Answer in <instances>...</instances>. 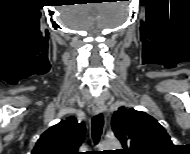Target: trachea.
<instances>
[{
	"instance_id": "trachea-1",
	"label": "trachea",
	"mask_w": 190,
	"mask_h": 154,
	"mask_svg": "<svg viewBox=\"0 0 190 154\" xmlns=\"http://www.w3.org/2000/svg\"><path fill=\"white\" fill-rule=\"evenodd\" d=\"M103 130V116L102 114H98L94 116L92 120V138L94 144H97L100 140L101 134Z\"/></svg>"
}]
</instances>
